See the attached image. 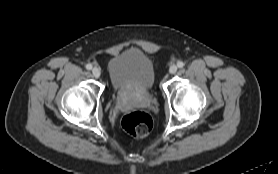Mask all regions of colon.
<instances>
[{
  "instance_id": "5ec220e1",
  "label": "colon",
  "mask_w": 278,
  "mask_h": 174,
  "mask_svg": "<svg viewBox=\"0 0 278 174\" xmlns=\"http://www.w3.org/2000/svg\"><path fill=\"white\" fill-rule=\"evenodd\" d=\"M122 127L130 135L140 138L150 133L153 127V120L147 112L135 110L123 117Z\"/></svg>"
}]
</instances>
